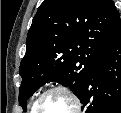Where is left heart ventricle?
Masks as SVG:
<instances>
[{
    "mask_svg": "<svg viewBox=\"0 0 121 113\" xmlns=\"http://www.w3.org/2000/svg\"><path fill=\"white\" fill-rule=\"evenodd\" d=\"M45 112H66L72 110V102L63 93H53L46 97L40 106Z\"/></svg>",
    "mask_w": 121,
    "mask_h": 113,
    "instance_id": "1",
    "label": "left heart ventricle"
}]
</instances>
